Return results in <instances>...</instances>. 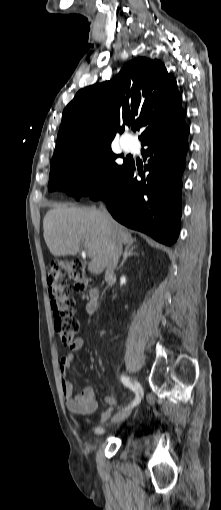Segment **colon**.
<instances>
[{
  "instance_id": "obj_1",
  "label": "colon",
  "mask_w": 221,
  "mask_h": 510,
  "mask_svg": "<svg viewBox=\"0 0 221 510\" xmlns=\"http://www.w3.org/2000/svg\"><path fill=\"white\" fill-rule=\"evenodd\" d=\"M69 280L74 282L75 290L82 294L91 286V280L86 276L79 260L61 259L49 264L47 283L54 328L61 342L66 346L73 343L80 328L79 321L75 317Z\"/></svg>"
}]
</instances>
